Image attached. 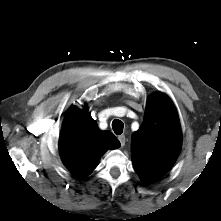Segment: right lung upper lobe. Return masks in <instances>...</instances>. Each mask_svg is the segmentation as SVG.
Segmentation results:
<instances>
[{"mask_svg":"<svg viewBox=\"0 0 221 221\" xmlns=\"http://www.w3.org/2000/svg\"><path fill=\"white\" fill-rule=\"evenodd\" d=\"M120 146L110 131H101L87 109L72 107L64 120L59 140L65 166L76 176L89 175L102 154Z\"/></svg>","mask_w":221,"mask_h":221,"instance_id":"1","label":"right lung upper lobe"}]
</instances>
